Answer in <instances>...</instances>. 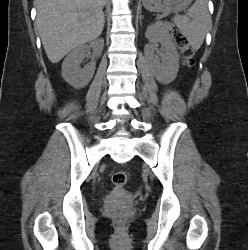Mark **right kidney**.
<instances>
[{
    "mask_svg": "<svg viewBox=\"0 0 248 250\" xmlns=\"http://www.w3.org/2000/svg\"><path fill=\"white\" fill-rule=\"evenodd\" d=\"M91 47L93 48V59L101 56L104 47V40L102 38L97 39L92 41L90 45H81L77 47L67 55L62 63V78L76 89L85 87L93 78L96 66L94 60L84 66V68L80 67V63Z\"/></svg>",
    "mask_w": 248,
    "mask_h": 250,
    "instance_id": "ca27d5eb",
    "label": "right kidney"
}]
</instances>
